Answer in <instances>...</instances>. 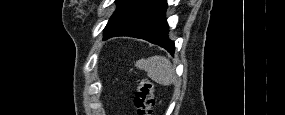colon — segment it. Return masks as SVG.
I'll use <instances>...</instances> for the list:
<instances>
[{
    "label": "colon",
    "mask_w": 285,
    "mask_h": 115,
    "mask_svg": "<svg viewBox=\"0 0 285 115\" xmlns=\"http://www.w3.org/2000/svg\"><path fill=\"white\" fill-rule=\"evenodd\" d=\"M154 103L152 82L146 78H140L137 82V91L134 98L137 114H153Z\"/></svg>",
    "instance_id": "colon-1"
}]
</instances>
